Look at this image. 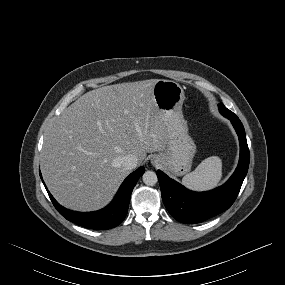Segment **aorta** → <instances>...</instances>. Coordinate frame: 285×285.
I'll return each instance as SVG.
<instances>
[{
    "instance_id": "obj_1",
    "label": "aorta",
    "mask_w": 285,
    "mask_h": 285,
    "mask_svg": "<svg viewBox=\"0 0 285 285\" xmlns=\"http://www.w3.org/2000/svg\"><path fill=\"white\" fill-rule=\"evenodd\" d=\"M143 182L148 186H153L157 183L158 178L155 172L146 171L142 176Z\"/></svg>"
}]
</instances>
